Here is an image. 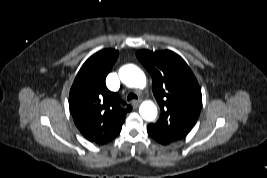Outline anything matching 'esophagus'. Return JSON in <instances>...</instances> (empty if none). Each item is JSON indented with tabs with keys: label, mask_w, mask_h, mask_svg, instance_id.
<instances>
[{
	"label": "esophagus",
	"mask_w": 267,
	"mask_h": 178,
	"mask_svg": "<svg viewBox=\"0 0 267 178\" xmlns=\"http://www.w3.org/2000/svg\"><path fill=\"white\" fill-rule=\"evenodd\" d=\"M140 103H141V99L133 100V101H132V105H133L135 108H137V107L140 105Z\"/></svg>",
	"instance_id": "1"
}]
</instances>
